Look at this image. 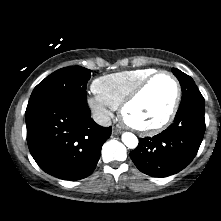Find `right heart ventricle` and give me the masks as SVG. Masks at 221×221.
<instances>
[{
	"mask_svg": "<svg viewBox=\"0 0 221 221\" xmlns=\"http://www.w3.org/2000/svg\"><path fill=\"white\" fill-rule=\"evenodd\" d=\"M154 72L153 68H139L104 75L94 80L92 89L111 108H118L124 98Z\"/></svg>",
	"mask_w": 221,
	"mask_h": 221,
	"instance_id": "1",
	"label": "right heart ventricle"
}]
</instances>
